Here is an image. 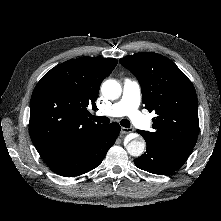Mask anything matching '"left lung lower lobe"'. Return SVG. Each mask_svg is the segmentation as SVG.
Here are the masks:
<instances>
[{"instance_id": "0a47b994", "label": "left lung lower lobe", "mask_w": 221, "mask_h": 221, "mask_svg": "<svg viewBox=\"0 0 221 221\" xmlns=\"http://www.w3.org/2000/svg\"><path fill=\"white\" fill-rule=\"evenodd\" d=\"M137 132L140 133V130ZM146 145V152L136 158L134 164L153 174L167 175L178 170L190 155L154 143H146Z\"/></svg>"}]
</instances>
